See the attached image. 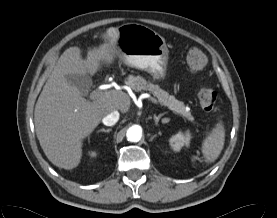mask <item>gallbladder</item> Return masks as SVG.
<instances>
[{
  "label": "gallbladder",
  "mask_w": 277,
  "mask_h": 218,
  "mask_svg": "<svg viewBox=\"0 0 277 218\" xmlns=\"http://www.w3.org/2000/svg\"><path fill=\"white\" fill-rule=\"evenodd\" d=\"M65 77L71 85L82 93H85L92 85L91 78L86 74H68Z\"/></svg>",
  "instance_id": "gallbladder-1"
}]
</instances>
